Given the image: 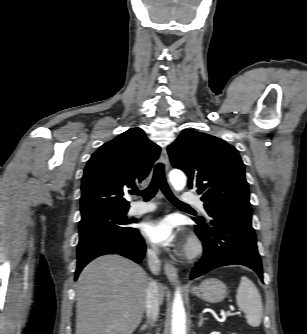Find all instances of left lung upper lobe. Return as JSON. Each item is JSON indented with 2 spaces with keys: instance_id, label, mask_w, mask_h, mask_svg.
I'll return each instance as SVG.
<instances>
[{
  "instance_id": "5c2ea615",
  "label": "left lung upper lobe",
  "mask_w": 307,
  "mask_h": 334,
  "mask_svg": "<svg viewBox=\"0 0 307 334\" xmlns=\"http://www.w3.org/2000/svg\"><path fill=\"white\" fill-rule=\"evenodd\" d=\"M168 154L172 166L189 177V188L202 195L209 216L226 212L251 218L245 167L235 147L215 136L184 130Z\"/></svg>"
}]
</instances>
